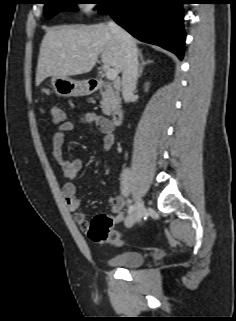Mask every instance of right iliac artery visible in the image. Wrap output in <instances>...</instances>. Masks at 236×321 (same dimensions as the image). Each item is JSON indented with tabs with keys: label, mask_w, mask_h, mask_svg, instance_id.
<instances>
[{
	"label": "right iliac artery",
	"mask_w": 236,
	"mask_h": 321,
	"mask_svg": "<svg viewBox=\"0 0 236 321\" xmlns=\"http://www.w3.org/2000/svg\"><path fill=\"white\" fill-rule=\"evenodd\" d=\"M133 211H134V206H133V205H130V206H129V209H128V213H129V214H132Z\"/></svg>",
	"instance_id": "obj_1"
}]
</instances>
